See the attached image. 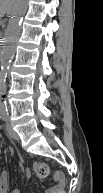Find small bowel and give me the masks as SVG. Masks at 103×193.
I'll return each mask as SVG.
<instances>
[{
	"mask_svg": "<svg viewBox=\"0 0 103 193\" xmlns=\"http://www.w3.org/2000/svg\"><path fill=\"white\" fill-rule=\"evenodd\" d=\"M26 177H29V172L25 171ZM1 179V193L9 192V179L10 173L8 171H3L0 176ZM55 185L47 189L44 193H63V183L62 180H59L55 177ZM11 193H21L18 189H13Z\"/></svg>",
	"mask_w": 103,
	"mask_h": 193,
	"instance_id": "1",
	"label": "small bowel"
}]
</instances>
